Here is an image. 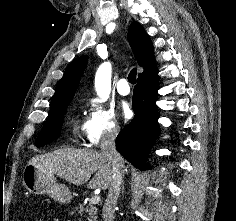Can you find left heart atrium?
Returning <instances> with one entry per match:
<instances>
[{
    "instance_id": "1",
    "label": "left heart atrium",
    "mask_w": 236,
    "mask_h": 221,
    "mask_svg": "<svg viewBox=\"0 0 236 221\" xmlns=\"http://www.w3.org/2000/svg\"><path fill=\"white\" fill-rule=\"evenodd\" d=\"M122 115L125 119H129L132 115L130 106L127 103H123L121 106Z\"/></svg>"
}]
</instances>
